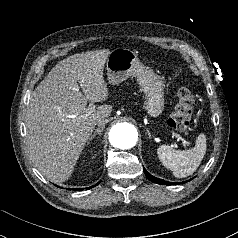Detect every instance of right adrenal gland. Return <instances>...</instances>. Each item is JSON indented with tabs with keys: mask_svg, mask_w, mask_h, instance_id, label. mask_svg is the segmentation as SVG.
Here are the masks:
<instances>
[{
	"mask_svg": "<svg viewBox=\"0 0 238 238\" xmlns=\"http://www.w3.org/2000/svg\"><path fill=\"white\" fill-rule=\"evenodd\" d=\"M103 130H104V127H101V128L96 129V130L94 131V133L92 134V136L88 139L87 145L90 143V141H92V139H93L96 135L101 136Z\"/></svg>",
	"mask_w": 238,
	"mask_h": 238,
	"instance_id": "right-adrenal-gland-1",
	"label": "right adrenal gland"
}]
</instances>
